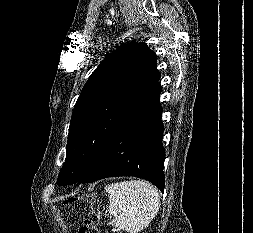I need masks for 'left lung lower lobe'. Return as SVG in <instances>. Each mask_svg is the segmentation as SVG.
I'll use <instances>...</instances> for the list:
<instances>
[{"label": "left lung lower lobe", "mask_w": 253, "mask_h": 233, "mask_svg": "<svg viewBox=\"0 0 253 233\" xmlns=\"http://www.w3.org/2000/svg\"><path fill=\"white\" fill-rule=\"evenodd\" d=\"M161 87L157 81L110 134L92 167L78 183L116 176L146 179L164 191Z\"/></svg>", "instance_id": "0a47b994"}]
</instances>
